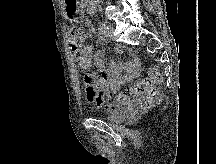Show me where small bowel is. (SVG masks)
Here are the masks:
<instances>
[{
	"label": "small bowel",
	"mask_w": 216,
	"mask_h": 164,
	"mask_svg": "<svg viewBox=\"0 0 216 164\" xmlns=\"http://www.w3.org/2000/svg\"><path fill=\"white\" fill-rule=\"evenodd\" d=\"M74 24L83 25L82 19H75ZM69 40L74 56L78 60L79 67L83 70L90 69L94 61L97 70L90 71L83 76L86 98L90 103L104 107L112 112L117 104L108 102L105 98L107 92H115L117 88L130 82L139 74V64L136 60L126 62L111 61L109 67L104 66L102 50L93 53L89 45H84V36L77 28L69 30Z\"/></svg>",
	"instance_id": "small-bowel-1"
}]
</instances>
